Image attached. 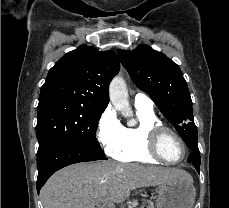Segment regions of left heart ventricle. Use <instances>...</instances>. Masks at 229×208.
<instances>
[{
    "label": "left heart ventricle",
    "mask_w": 229,
    "mask_h": 208,
    "mask_svg": "<svg viewBox=\"0 0 229 208\" xmlns=\"http://www.w3.org/2000/svg\"><path fill=\"white\" fill-rule=\"evenodd\" d=\"M173 134L172 132H166L162 139H159V152H162L165 160H180L185 154V147H178V143H174Z\"/></svg>",
    "instance_id": "1"
}]
</instances>
